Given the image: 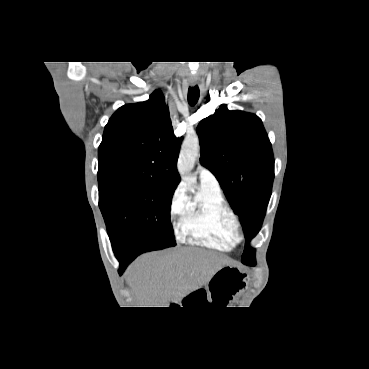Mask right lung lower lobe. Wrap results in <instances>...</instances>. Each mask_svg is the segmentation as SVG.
I'll use <instances>...</instances> for the list:
<instances>
[{
    "label": "right lung lower lobe",
    "instance_id": "1",
    "mask_svg": "<svg viewBox=\"0 0 369 369\" xmlns=\"http://www.w3.org/2000/svg\"><path fill=\"white\" fill-rule=\"evenodd\" d=\"M116 257L120 262V270L119 273L121 274L124 269L127 267V265L134 260L138 255H131L124 252H116Z\"/></svg>",
    "mask_w": 369,
    "mask_h": 369
}]
</instances>
